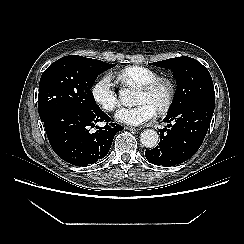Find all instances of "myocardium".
Here are the masks:
<instances>
[{
	"instance_id": "obj_1",
	"label": "myocardium",
	"mask_w": 244,
	"mask_h": 244,
	"mask_svg": "<svg viewBox=\"0 0 244 244\" xmlns=\"http://www.w3.org/2000/svg\"><path fill=\"white\" fill-rule=\"evenodd\" d=\"M160 87H164L166 89L167 94H166L165 101L161 106L157 108L156 112L159 115H164L170 110L175 99L176 90L173 81L167 77H157L154 80L150 81L149 83L142 85L138 89L139 91L150 94L156 91Z\"/></svg>"
}]
</instances>
